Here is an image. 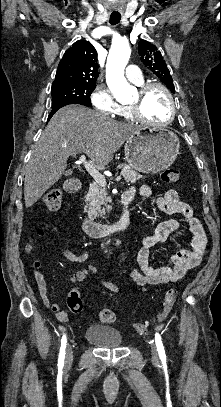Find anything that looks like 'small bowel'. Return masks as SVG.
Instances as JSON below:
<instances>
[{"instance_id": "small-bowel-1", "label": "small bowel", "mask_w": 221, "mask_h": 407, "mask_svg": "<svg viewBox=\"0 0 221 407\" xmlns=\"http://www.w3.org/2000/svg\"><path fill=\"white\" fill-rule=\"evenodd\" d=\"M152 191L149 186L130 187L125 190L122 196H128L130 202L136 195L143 199L151 196ZM157 208L175 217L160 223L154 232L147 235L143 240V245L137 253L138 268L129 269L125 272L126 277L131 279L136 285L131 289L135 292H147L150 286L175 283L182 279L189 270L196 267L206 254L207 237L200 221L194 216L192 207L179 199L175 190H166L156 199ZM180 222L187 225L192 234L191 250H180L171 257V265L151 266L148 262L152 249L166 243L174 232L179 228ZM56 231V228H53ZM34 247V241H30L25 252L28 254ZM62 255L71 261L82 262L86 254L75 255L69 249H63ZM97 269L89 266L83 270L73 272L71 278L74 281L82 282L89 275L96 274ZM34 279L43 304L48 307L61 322L68 320L67 314L61 310L59 303H52L48 295L47 282L40 270L38 262L34 265ZM101 285L118 294L119 287L110 281L100 280ZM72 299V292H68L65 301L68 303Z\"/></svg>"}]
</instances>
